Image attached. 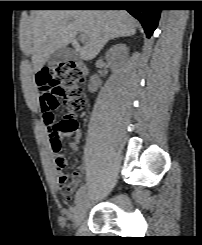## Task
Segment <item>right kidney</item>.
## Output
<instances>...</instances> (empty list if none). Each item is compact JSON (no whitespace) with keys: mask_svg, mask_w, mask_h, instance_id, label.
<instances>
[{"mask_svg":"<svg viewBox=\"0 0 202 245\" xmlns=\"http://www.w3.org/2000/svg\"><path fill=\"white\" fill-rule=\"evenodd\" d=\"M128 51L126 44H116L106 52L105 58L111 67L116 69L122 65L123 61L128 56ZM100 85V78L97 75L91 76L88 85L89 91L92 93L96 92Z\"/></svg>","mask_w":202,"mask_h":245,"instance_id":"right-kidney-1","label":"right kidney"}]
</instances>
